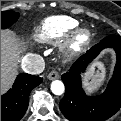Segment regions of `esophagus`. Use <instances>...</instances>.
Instances as JSON below:
<instances>
[{"instance_id":"obj_1","label":"esophagus","mask_w":121,"mask_h":121,"mask_svg":"<svg viewBox=\"0 0 121 121\" xmlns=\"http://www.w3.org/2000/svg\"><path fill=\"white\" fill-rule=\"evenodd\" d=\"M47 78H48L49 80L58 79V78H59V73H58L56 70H52V71L48 74Z\"/></svg>"}]
</instances>
